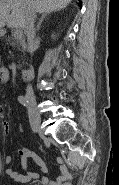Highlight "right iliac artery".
<instances>
[{"label": "right iliac artery", "mask_w": 119, "mask_h": 185, "mask_svg": "<svg viewBox=\"0 0 119 185\" xmlns=\"http://www.w3.org/2000/svg\"><path fill=\"white\" fill-rule=\"evenodd\" d=\"M18 101H19V103H21L23 106H25L28 109V114L30 117L29 124H31V128H32L33 132H37L35 125H33V124H36V118H35L36 113H31V109L28 106V100L24 96H19Z\"/></svg>", "instance_id": "right-iliac-artery-1"}]
</instances>
